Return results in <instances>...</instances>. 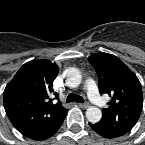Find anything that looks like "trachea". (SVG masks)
Wrapping results in <instances>:
<instances>
[{
  "label": "trachea",
  "mask_w": 145,
  "mask_h": 145,
  "mask_svg": "<svg viewBox=\"0 0 145 145\" xmlns=\"http://www.w3.org/2000/svg\"><path fill=\"white\" fill-rule=\"evenodd\" d=\"M66 101L67 103L69 102L83 103L84 99L81 96L75 94H69Z\"/></svg>",
  "instance_id": "trachea-1"
}]
</instances>
